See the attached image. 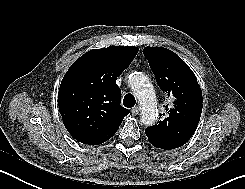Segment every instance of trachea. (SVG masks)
Here are the masks:
<instances>
[{"label": "trachea", "mask_w": 245, "mask_h": 189, "mask_svg": "<svg viewBox=\"0 0 245 189\" xmlns=\"http://www.w3.org/2000/svg\"><path fill=\"white\" fill-rule=\"evenodd\" d=\"M136 103L135 97L132 94H126L123 98V105L127 108L134 107Z\"/></svg>", "instance_id": "obj_1"}]
</instances>
